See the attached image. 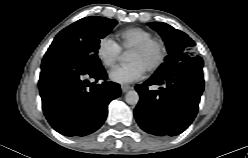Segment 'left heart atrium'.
Masks as SVG:
<instances>
[{"instance_id":"obj_1","label":"left heart atrium","mask_w":248,"mask_h":158,"mask_svg":"<svg viewBox=\"0 0 248 158\" xmlns=\"http://www.w3.org/2000/svg\"><path fill=\"white\" fill-rule=\"evenodd\" d=\"M146 69L139 62H131L117 67L109 74L110 80L116 83H131L143 78Z\"/></svg>"}]
</instances>
